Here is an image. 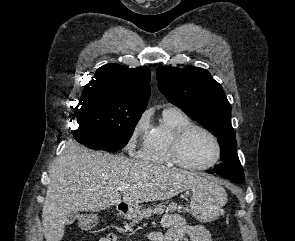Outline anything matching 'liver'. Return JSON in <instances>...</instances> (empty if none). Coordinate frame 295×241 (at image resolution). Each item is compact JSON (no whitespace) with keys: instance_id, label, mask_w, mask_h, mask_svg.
Masks as SVG:
<instances>
[{"instance_id":"liver-1","label":"liver","mask_w":295,"mask_h":241,"mask_svg":"<svg viewBox=\"0 0 295 241\" xmlns=\"http://www.w3.org/2000/svg\"><path fill=\"white\" fill-rule=\"evenodd\" d=\"M199 174L91 152L69 140L49 170V185L42 210L46 241H61L68 217L78 211H101L122 202L119 186L128 184L123 202L166 200L207 183Z\"/></svg>"}]
</instances>
